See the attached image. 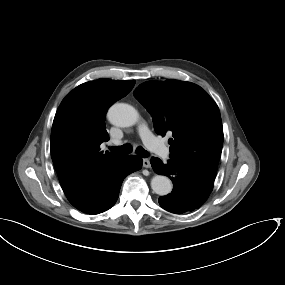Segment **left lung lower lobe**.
I'll return each instance as SVG.
<instances>
[{
  "mask_svg": "<svg viewBox=\"0 0 285 285\" xmlns=\"http://www.w3.org/2000/svg\"><path fill=\"white\" fill-rule=\"evenodd\" d=\"M151 166L155 173L168 176L174 184L170 194L159 198L160 206L171 213L182 214L198 209L213 189L216 172L199 165L176 159L163 164L153 157Z\"/></svg>",
  "mask_w": 285,
  "mask_h": 285,
  "instance_id": "obj_1",
  "label": "left lung lower lobe"
}]
</instances>
